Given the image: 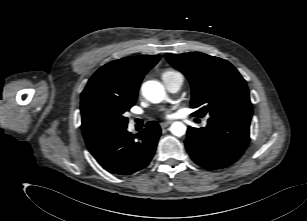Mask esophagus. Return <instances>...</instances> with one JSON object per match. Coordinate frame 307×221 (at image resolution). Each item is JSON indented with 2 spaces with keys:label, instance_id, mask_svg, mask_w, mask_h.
I'll return each instance as SVG.
<instances>
[{
  "label": "esophagus",
  "instance_id": "1",
  "mask_svg": "<svg viewBox=\"0 0 307 221\" xmlns=\"http://www.w3.org/2000/svg\"><path fill=\"white\" fill-rule=\"evenodd\" d=\"M172 123V121H165V122H161L160 126L161 128H166L168 125H170Z\"/></svg>",
  "mask_w": 307,
  "mask_h": 221
}]
</instances>
